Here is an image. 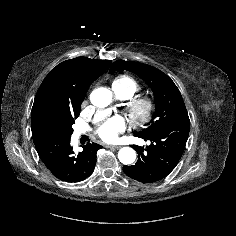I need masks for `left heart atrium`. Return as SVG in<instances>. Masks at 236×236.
Listing matches in <instances>:
<instances>
[{"label":"left heart atrium","instance_id":"obj_1","mask_svg":"<svg viewBox=\"0 0 236 236\" xmlns=\"http://www.w3.org/2000/svg\"><path fill=\"white\" fill-rule=\"evenodd\" d=\"M125 128L124 118L116 115L102 123L96 133L105 142H114L117 140L119 133L123 132Z\"/></svg>","mask_w":236,"mask_h":236}]
</instances>
